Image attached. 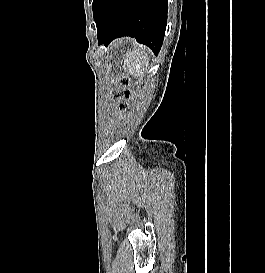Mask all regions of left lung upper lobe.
I'll return each instance as SVG.
<instances>
[{
  "label": "left lung upper lobe",
  "mask_w": 265,
  "mask_h": 273,
  "mask_svg": "<svg viewBox=\"0 0 265 273\" xmlns=\"http://www.w3.org/2000/svg\"><path fill=\"white\" fill-rule=\"evenodd\" d=\"M93 16H94V20L96 22L97 27H99L105 18V12L102 9L93 7Z\"/></svg>",
  "instance_id": "5c2ea615"
}]
</instances>
